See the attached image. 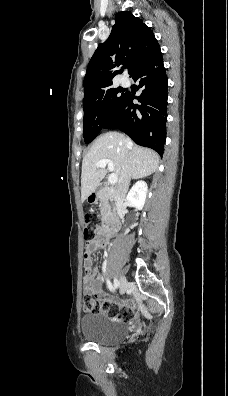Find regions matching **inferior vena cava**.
Instances as JSON below:
<instances>
[{
  "label": "inferior vena cava",
  "mask_w": 228,
  "mask_h": 396,
  "mask_svg": "<svg viewBox=\"0 0 228 396\" xmlns=\"http://www.w3.org/2000/svg\"><path fill=\"white\" fill-rule=\"evenodd\" d=\"M130 179L131 178H130L129 165L128 162L126 161L123 167L121 177L119 178L117 188L115 190L116 200H121L124 198L130 184Z\"/></svg>",
  "instance_id": "602c4592"
}]
</instances>
